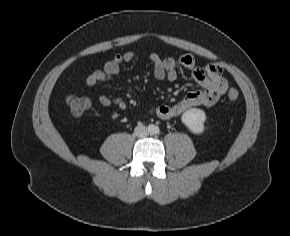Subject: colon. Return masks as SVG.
<instances>
[{
	"label": "colon",
	"instance_id": "5ec220e1",
	"mask_svg": "<svg viewBox=\"0 0 290 236\" xmlns=\"http://www.w3.org/2000/svg\"><path fill=\"white\" fill-rule=\"evenodd\" d=\"M227 97L230 101H236L239 98V92L236 89H230ZM66 104L70 112L75 116L82 115L90 107L88 98L74 94L66 97Z\"/></svg>",
	"mask_w": 290,
	"mask_h": 236
}]
</instances>
